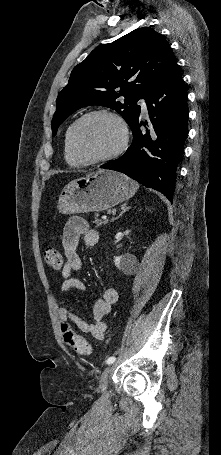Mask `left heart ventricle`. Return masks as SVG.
Here are the masks:
<instances>
[{"label": "left heart ventricle", "instance_id": "1", "mask_svg": "<svg viewBox=\"0 0 221 455\" xmlns=\"http://www.w3.org/2000/svg\"><path fill=\"white\" fill-rule=\"evenodd\" d=\"M121 141L118 124L106 116L85 120L77 133V145L87 158H97L113 151Z\"/></svg>", "mask_w": 221, "mask_h": 455}]
</instances>
